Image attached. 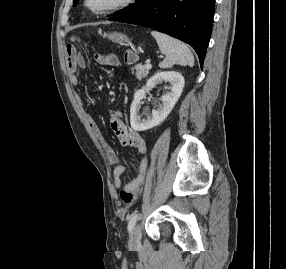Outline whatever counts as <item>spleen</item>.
<instances>
[{"label":"spleen","mask_w":286,"mask_h":269,"mask_svg":"<svg viewBox=\"0 0 286 269\" xmlns=\"http://www.w3.org/2000/svg\"><path fill=\"white\" fill-rule=\"evenodd\" d=\"M151 35L156 39L160 51L166 55L159 63L160 68H170L174 64L194 66V56L186 44L158 31H152Z\"/></svg>","instance_id":"spleen-1"}]
</instances>
